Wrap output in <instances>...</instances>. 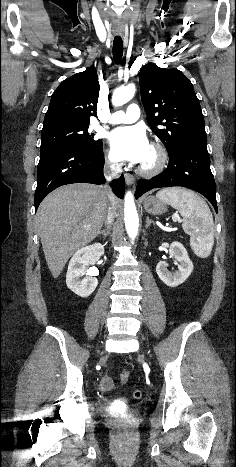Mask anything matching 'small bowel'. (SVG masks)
<instances>
[{"label": "small bowel", "instance_id": "1", "mask_svg": "<svg viewBox=\"0 0 236 467\" xmlns=\"http://www.w3.org/2000/svg\"><path fill=\"white\" fill-rule=\"evenodd\" d=\"M128 378L129 372L127 370H124L121 374L120 384L124 385L127 382ZM100 389L103 392H109L114 389L113 380L109 375H105L102 377L100 381Z\"/></svg>", "mask_w": 236, "mask_h": 467}]
</instances>
